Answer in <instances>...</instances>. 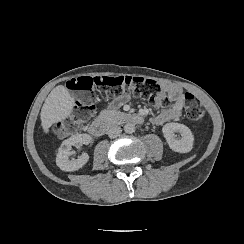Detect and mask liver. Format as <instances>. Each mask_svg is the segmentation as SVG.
Returning <instances> with one entry per match:
<instances>
[{
	"label": "liver",
	"mask_w": 244,
	"mask_h": 244,
	"mask_svg": "<svg viewBox=\"0 0 244 244\" xmlns=\"http://www.w3.org/2000/svg\"><path fill=\"white\" fill-rule=\"evenodd\" d=\"M74 107V99L63 85L56 86L45 99L40 118L45 133L57 122L66 119Z\"/></svg>",
	"instance_id": "6515ba94"
}]
</instances>
